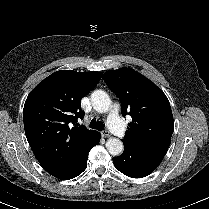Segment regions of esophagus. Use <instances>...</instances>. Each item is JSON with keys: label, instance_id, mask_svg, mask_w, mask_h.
<instances>
[{"label": "esophagus", "instance_id": "obj_1", "mask_svg": "<svg viewBox=\"0 0 209 209\" xmlns=\"http://www.w3.org/2000/svg\"><path fill=\"white\" fill-rule=\"evenodd\" d=\"M101 135H102V137H104V138H108V137L111 136L110 132L107 131V130L102 131V132H101Z\"/></svg>", "mask_w": 209, "mask_h": 209}]
</instances>
